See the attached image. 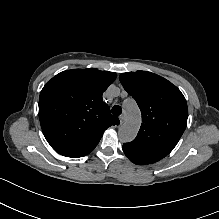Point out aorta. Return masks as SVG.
Listing matches in <instances>:
<instances>
[{
	"instance_id": "1",
	"label": "aorta",
	"mask_w": 219,
	"mask_h": 219,
	"mask_svg": "<svg viewBox=\"0 0 219 219\" xmlns=\"http://www.w3.org/2000/svg\"><path fill=\"white\" fill-rule=\"evenodd\" d=\"M126 120L118 130V137L122 142L135 139L141 124L140 110L134 100H126L123 104Z\"/></svg>"
}]
</instances>
